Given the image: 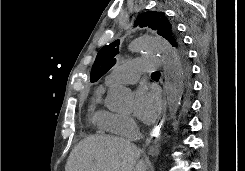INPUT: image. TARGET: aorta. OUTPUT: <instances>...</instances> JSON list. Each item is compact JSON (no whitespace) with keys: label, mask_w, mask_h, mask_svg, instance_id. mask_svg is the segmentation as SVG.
Instances as JSON below:
<instances>
[{"label":"aorta","mask_w":245,"mask_h":171,"mask_svg":"<svg viewBox=\"0 0 245 171\" xmlns=\"http://www.w3.org/2000/svg\"><path fill=\"white\" fill-rule=\"evenodd\" d=\"M129 49L136 53H155L162 62L167 100L171 111H175L180 103L183 93V80L180 67H176L177 55L172 46L161 38L142 36L134 39ZM133 103V95L123 86L112 87L107 95L106 105L114 111H129Z\"/></svg>","instance_id":"762f6f07"}]
</instances>
